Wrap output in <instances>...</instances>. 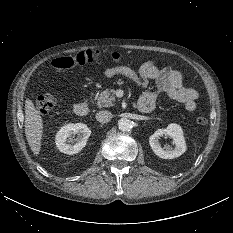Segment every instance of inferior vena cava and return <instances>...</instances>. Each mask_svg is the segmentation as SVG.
<instances>
[{"instance_id":"602c4592","label":"inferior vena cava","mask_w":233,"mask_h":233,"mask_svg":"<svg viewBox=\"0 0 233 233\" xmlns=\"http://www.w3.org/2000/svg\"><path fill=\"white\" fill-rule=\"evenodd\" d=\"M112 117H113L112 113L109 112V111H106V110L105 111H99L96 114V119L100 123H107L112 119Z\"/></svg>"}]
</instances>
